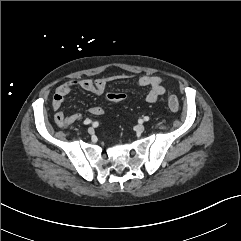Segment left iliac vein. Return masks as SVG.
<instances>
[{"label": "left iliac vein", "instance_id": "4c4485c4", "mask_svg": "<svg viewBox=\"0 0 241 241\" xmlns=\"http://www.w3.org/2000/svg\"><path fill=\"white\" fill-rule=\"evenodd\" d=\"M144 130H145L144 125L139 124V125L136 126V131H137L138 133H142Z\"/></svg>", "mask_w": 241, "mask_h": 241}]
</instances>
